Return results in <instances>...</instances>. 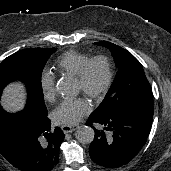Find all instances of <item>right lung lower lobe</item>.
Segmentation results:
<instances>
[{
    "label": "right lung lower lobe",
    "mask_w": 171,
    "mask_h": 171,
    "mask_svg": "<svg viewBox=\"0 0 171 171\" xmlns=\"http://www.w3.org/2000/svg\"><path fill=\"white\" fill-rule=\"evenodd\" d=\"M18 131L19 137L1 154L20 171H51L58 163L63 131L58 127L51 129L47 117L36 125L29 117Z\"/></svg>",
    "instance_id": "obj_1"
}]
</instances>
